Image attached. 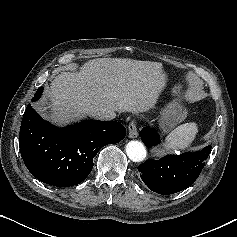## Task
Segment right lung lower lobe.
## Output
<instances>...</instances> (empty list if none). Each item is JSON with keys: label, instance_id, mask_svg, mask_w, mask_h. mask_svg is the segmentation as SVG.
<instances>
[{"label": "right lung lower lobe", "instance_id": "obj_1", "mask_svg": "<svg viewBox=\"0 0 237 237\" xmlns=\"http://www.w3.org/2000/svg\"><path fill=\"white\" fill-rule=\"evenodd\" d=\"M43 92L40 87L32 101ZM125 127L115 121L85 120L58 128L28 104L21 122L19 146L23 161L39 181L60 187L77 185L93 168V158L107 144L118 143Z\"/></svg>", "mask_w": 237, "mask_h": 237}]
</instances>
